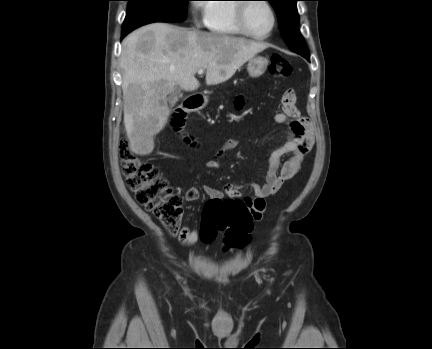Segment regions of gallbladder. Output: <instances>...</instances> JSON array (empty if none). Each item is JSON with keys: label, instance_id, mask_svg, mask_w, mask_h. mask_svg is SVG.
I'll return each instance as SVG.
<instances>
[{"label": "gallbladder", "instance_id": "bac80fb5", "mask_svg": "<svg viewBox=\"0 0 432 349\" xmlns=\"http://www.w3.org/2000/svg\"><path fill=\"white\" fill-rule=\"evenodd\" d=\"M179 94H180V89L178 86H175L173 92L168 97V102L171 107L174 106L175 103L177 102Z\"/></svg>", "mask_w": 432, "mask_h": 349}]
</instances>
